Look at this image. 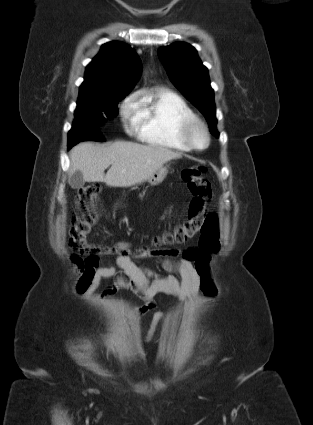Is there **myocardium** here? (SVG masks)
<instances>
[{"label":"myocardium","mask_w":313,"mask_h":425,"mask_svg":"<svg viewBox=\"0 0 313 425\" xmlns=\"http://www.w3.org/2000/svg\"><path fill=\"white\" fill-rule=\"evenodd\" d=\"M200 130L205 137V144L203 146H199L196 144L194 140V134L196 131ZM181 138L182 140L194 150H204L210 144V133L207 125L200 119L194 118L187 120L183 123L181 128Z\"/></svg>","instance_id":"1"}]
</instances>
